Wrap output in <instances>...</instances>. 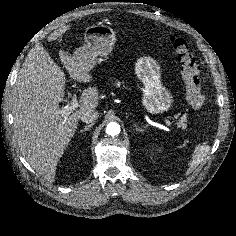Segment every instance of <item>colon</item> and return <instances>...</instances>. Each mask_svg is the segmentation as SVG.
<instances>
[{
  "instance_id": "obj_1",
  "label": "colon",
  "mask_w": 236,
  "mask_h": 236,
  "mask_svg": "<svg viewBox=\"0 0 236 236\" xmlns=\"http://www.w3.org/2000/svg\"><path fill=\"white\" fill-rule=\"evenodd\" d=\"M170 42L177 54L180 72L185 84L187 101L192 108L203 112L205 97L201 90L197 58L190 44L183 38L174 36L171 37Z\"/></svg>"
}]
</instances>
